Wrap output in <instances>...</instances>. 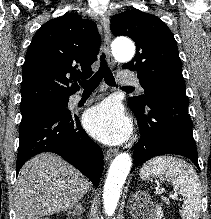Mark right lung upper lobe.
<instances>
[{"mask_svg": "<svg viewBox=\"0 0 211 219\" xmlns=\"http://www.w3.org/2000/svg\"><path fill=\"white\" fill-rule=\"evenodd\" d=\"M99 46L96 24L80 15L67 14L46 22L27 50L21 105L69 99L79 90L75 81L93 74L91 65L97 60Z\"/></svg>", "mask_w": 211, "mask_h": 219, "instance_id": "right-lung-upper-lobe-1", "label": "right lung upper lobe"}]
</instances>
